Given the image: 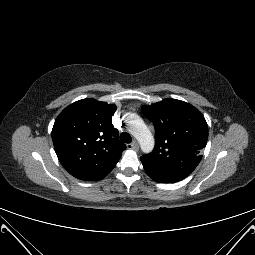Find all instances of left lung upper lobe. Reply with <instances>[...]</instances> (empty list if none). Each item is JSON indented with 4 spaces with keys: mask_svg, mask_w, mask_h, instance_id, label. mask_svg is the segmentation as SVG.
Listing matches in <instances>:
<instances>
[{
    "mask_svg": "<svg viewBox=\"0 0 255 255\" xmlns=\"http://www.w3.org/2000/svg\"><path fill=\"white\" fill-rule=\"evenodd\" d=\"M142 109L155 127V148L140 158L146 173L159 183L183 180L199 164L207 144L204 116L191 104L172 98Z\"/></svg>",
    "mask_w": 255,
    "mask_h": 255,
    "instance_id": "obj_1",
    "label": "left lung upper lobe"
}]
</instances>
